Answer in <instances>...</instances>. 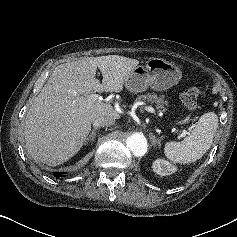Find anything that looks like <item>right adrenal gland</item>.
<instances>
[{"instance_id": "obj_1", "label": "right adrenal gland", "mask_w": 237, "mask_h": 237, "mask_svg": "<svg viewBox=\"0 0 237 237\" xmlns=\"http://www.w3.org/2000/svg\"><path fill=\"white\" fill-rule=\"evenodd\" d=\"M99 127H95L92 129L90 135L87 137V139L85 140V144H88L89 141H94L95 136H96V131L99 130Z\"/></svg>"}]
</instances>
